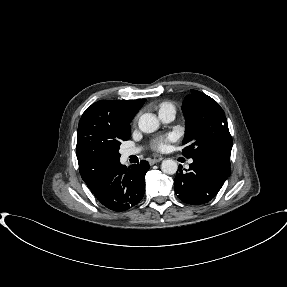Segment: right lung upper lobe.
<instances>
[{
  "label": "right lung upper lobe",
  "mask_w": 287,
  "mask_h": 287,
  "mask_svg": "<svg viewBox=\"0 0 287 287\" xmlns=\"http://www.w3.org/2000/svg\"><path fill=\"white\" fill-rule=\"evenodd\" d=\"M102 100L83 113L77 132L76 155L82 179L89 187L104 168L119 162L116 150L131 135L130 122L145 103Z\"/></svg>",
  "instance_id": "obj_1"
}]
</instances>
